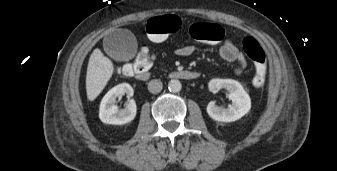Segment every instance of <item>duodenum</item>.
Segmentation results:
<instances>
[{"mask_svg":"<svg viewBox=\"0 0 337 171\" xmlns=\"http://www.w3.org/2000/svg\"><path fill=\"white\" fill-rule=\"evenodd\" d=\"M133 75L138 80H147L149 78V72L147 69H135ZM200 76L198 72L189 70H176L170 73V77L173 79L181 80H194Z\"/></svg>","mask_w":337,"mask_h":171,"instance_id":"obj_1","label":"duodenum"}]
</instances>
